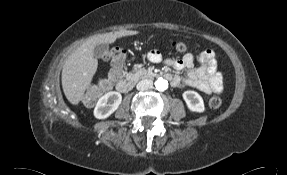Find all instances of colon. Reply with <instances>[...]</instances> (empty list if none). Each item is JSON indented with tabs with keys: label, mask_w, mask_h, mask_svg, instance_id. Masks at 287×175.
I'll use <instances>...</instances> for the list:
<instances>
[{
	"label": "colon",
	"mask_w": 287,
	"mask_h": 175,
	"mask_svg": "<svg viewBox=\"0 0 287 175\" xmlns=\"http://www.w3.org/2000/svg\"><path fill=\"white\" fill-rule=\"evenodd\" d=\"M179 49H180L181 51H186V50L188 49V46H187L186 44H181V45L179 46ZM213 102H214V104H217L219 101H218L217 98H214Z\"/></svg>",
	"instance_id": "colon-1"
}]
</instances>
